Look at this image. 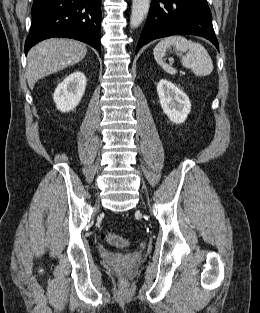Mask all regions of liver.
<instances>
[{
	"instance_id": "liver-1",
	"label": "liver",
	"mask_w": 260,
	"mask_h": 313,
	"mask_svg": "<svg viewBox=\"0 0 260 313\" xmlns=\"http://www.w3.org/2000/svg\"><path fill=\"white\" fill-rule=\"evenodd\" d=\"M86 54V45L72 39H49L35 45L27 55L29 87L33 89L39 79L81 61Z\"/></svg>"
}]
</instances>
